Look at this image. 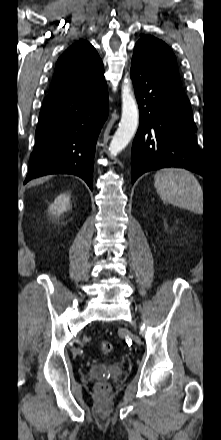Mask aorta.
<instances>
[{"label": "aorta", "instance_id": "aorta-1", "mask_svg": "<svg viewBox=\"0 0 221 440\" xmlns=\"http://www.w3.org/2000/svg\"><path fill=\"white\" fill-rule=\"evenodd\" d=\"M138 120L139 111L132 94L131 80L125 78L122 85V116L110 143L111 156H116L128 145L137 130Z\"/></svg>", "mask_w": 221, "mask_h": 440}]
</instances>
